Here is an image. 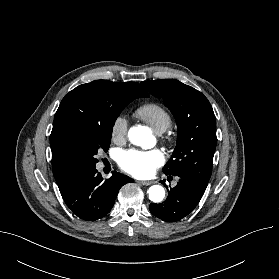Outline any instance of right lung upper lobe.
Here are the masks:
<instances>
[{"label": "right lung upper lobe", "instance_id": "1", "mask_svg": "<svg viewBox=\"0 0 279 279\" xmlns=\"http://www.w3.org/2000/svg\"><path fill=\"white\" fill-rule=\"evenodd\" d=\"M118 97H149L135 82L96 80L79 85L61 101L50 135L52 170L62 191L79 172L76 144L78 137L100 123L107 104Z\"/></svg>", "mask_w": 279, "mask_h": 279}]
</instances>
